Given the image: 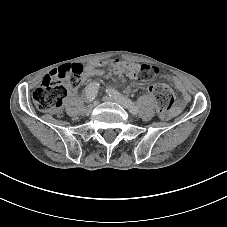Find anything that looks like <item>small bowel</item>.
Returning <instances> with one entry per match:
<instances>
[{
	"mask_svg": "<svg viewBox=\"0 0 227 227\" xmlns=\"http://www.w3.org/2000/svg\"><path fill=\"white\" fill-rule=\"evenodd\" d=\"M107 61L94 62L87 66L85 77L96 76L100 77L103 75V70L100 68L101 66L107 65ZM139 69L140 65L136 63L126 62V61H117L114 63L113 71L116 75H124L131 79L139 78ZM173 83L177 90L182 94L183 100L186 102L189 100V96L186 93L182 83L174 78ZM180 110V106L174 108L172 114L178 113Z\"/></svg>",
	"mask_w": 227,
	"mask_h": 227,
	"instance_id": "small-bowel-1",
	"label": "small bowel"
}]
</instances>
